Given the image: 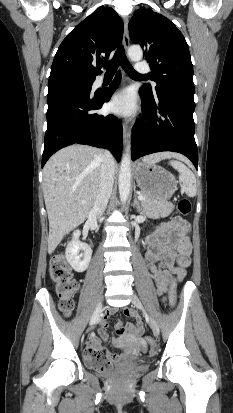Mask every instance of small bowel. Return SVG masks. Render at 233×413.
<instances>
[{"instance_id":"c3829d8e","label":"small bowel","mask_w":233,"mask_h":413,"mask_svg":"<svg viewBox=\"0 0 233 413\" xmlns=\"http://www.w3.org/2000/svg\"><path fill=\"white\" fill-rule=\"evenodd\" d=\"M190 255L191 243L188 236V224L179 217L160 225L147 239L146 263L160 296L164 298L175 279L181 281L185 277L186 269L191 263ZM114 312L115 309H111L107 315ZM123 312L126 316L133 318L134 323L119 322L116 325L118 333L124 335L117 344L126 346L122 355L108 352L111 359L117 361L136 357L146 348V343L141 338L144 324L140 315L129 307L124 308ZM100 325L97 333H92L89 337L85 351L86 360L93 354L104 350L100 345V339H108V333L105 331L106 320L103 319Z\"/></svg>"}]
</instances>
